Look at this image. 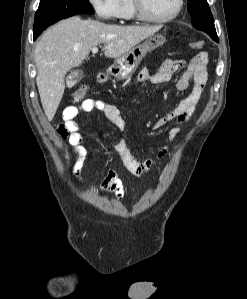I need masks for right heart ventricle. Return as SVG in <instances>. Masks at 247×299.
<instances>
[{
    "mask_svg": "<svg viewBox=\"0 0 247 299\" xmlns=\"http://www.w3.org/2000/svg\"><path fill=\"white\" fill-rule=\"evenodd\" d=\"M117 18L123 21H129L136 18L132 0H119Z\"/></svg>",
    "mask_w": 247,
    "mask_h": 299,
    "instance_id": "e07e8e85",
    "label": "right heart ventricle"
}]
</instances>
